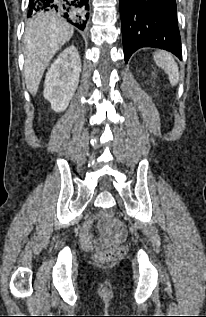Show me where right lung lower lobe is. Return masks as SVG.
Listing matches in <instances>:
<instances>
[{
    "mask_svg": "<svg viewBox=\"0 0 206 317\" xmlns=\"http://www.w3.org/2000/svg\"><path fill=\"white\" fill-rule=\"evenodd\" d=\"M88 10V0H29L28 17L54 12L80 30H84Z\"/></svg>",
    "mask_w": 206,
    "mask_h": 317,
    "instance_id": "98d812e1",
    "label": "right lung lower lobe"
}]
</instances>
